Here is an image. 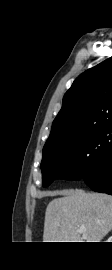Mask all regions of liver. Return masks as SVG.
Returning a JSON list of instances; mask_svg holds the SVG:
<instances>
[{"instance_id":"obj_1","label":"liver","mask_w":112,"mask_h":270,"mask_svg":"<svg viewBox=\"0 0 112 270\" xmlns=\"http://www.w3.org/2000/svg\"><path fill=\"white\" fill-rule=\"evenodd\" d=\"M52 195L63 197L46 208L43 242H100L112 230L111 195L73 190Z\"/></svg>"}]
</instances>
